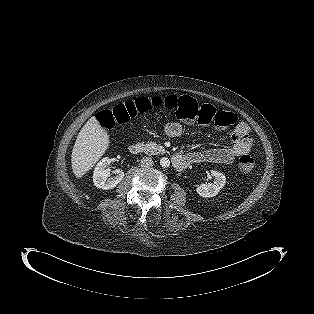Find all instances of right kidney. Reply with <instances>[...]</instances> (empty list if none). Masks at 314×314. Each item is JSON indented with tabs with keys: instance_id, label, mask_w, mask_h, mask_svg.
<instances>
[{
	"instance_id": "ca27d5eb",
	"label": "right kidney",
	"mask_w": 314,
	"mask_h": 314,
	"mask_svg": "<svg viewBox=\"0 0 314 314\" xmlns=\"http://www.w3.org/2000/svg\"><path fill=\"white\" fill-rule=\"evenodd\" d=\"M110 163L111 159L105 157L95 167L93 173V182L97 188L103 190L113 189L124 178V173L121 170L115 171V173H117L115 177L108 178L111 172V169L108 167Z\"/></svg>"
}]
</instances>
